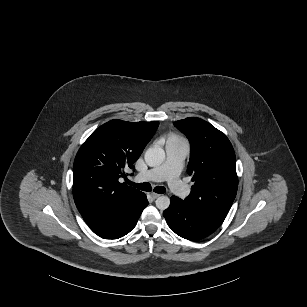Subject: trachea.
Returning a JSON list of instances; mask_svg holds the SVG:
<instances>
[{
  "instance_id": "3493384b",
  "label": "trachea",
  "mask_w": 307,
  "mask_h": 307,
  "mask_svg": "<svg viewBox=\"0 0 307 307\" xmlns=\"http://www.w3.org/2000/svg\"><path fill=\"white\" fill-rule=\"evenodd\" d=\"M129 185H132L142 191H151L152 187L150 185V183L144 182V183H135V182H131L128 180L127 182ZM154 192L159 193V194H164L166 192V188L162 187V186H157L154 188Z\"/></svg>"
}]
</instances>
